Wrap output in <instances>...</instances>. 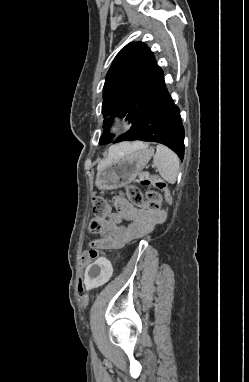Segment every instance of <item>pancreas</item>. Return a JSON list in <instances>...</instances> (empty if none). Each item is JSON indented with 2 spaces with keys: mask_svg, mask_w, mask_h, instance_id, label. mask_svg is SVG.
Instances as JSON below:
<instances>
[{
  "mask_svg": "<svg viewBox=\"0 0 249 382\" xmlns=\"http://www.w3.org/2000/svg\"><path fill=\"white\" fill-rule=\"evenodd\" d=\"M143 179H144V177H141V178H140V180H143Z\"/></svg>",
  "mask_w": 249,
  "mask_h": 382,
  "instance_id": "obj_1",
  "label": "pancreas"
}]
</instances>
